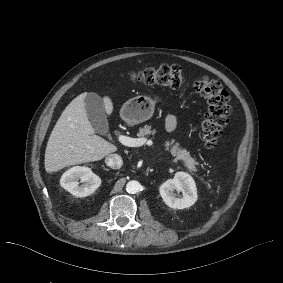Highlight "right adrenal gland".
I'll return each instance as SVG.
<instances>
[{
  "instance_id": "2a0ac1e0",
  "label": "right adrenal gland",
  "mask_w": 283,
  "mask_h": 283,
  "mask_svg": "<svg viewBox=\"0 0 283 283\" xmlns=\"http://www.w3.org/2000/svg\"><path fill=\"white\" fill-rule=\"evenodd\" d=\"M102 167H103L104 170L109 171V169H108V168H105L104 165H102Z\"/></svg>"
}]
</instances>
